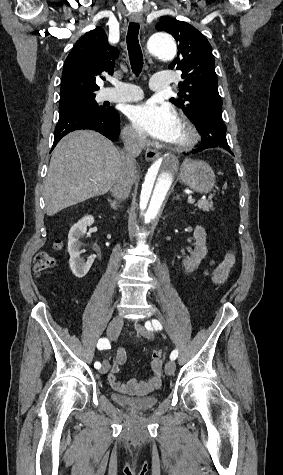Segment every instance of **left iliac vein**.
Wrapping results in <instances>:
<instances>
[{
	"instance_id": "1",
	"label": "left iliac vein",
	"mask_w": 283,
	"mask_h": 475,
	"mask_svg": "<svg viewBox=\"0 0 283 475\" xmlns=\"http://www.w3.org/2000/svg\"><path fill=\"white\" fill-rule=\"evenodd\" d=\"M136 331L140 333L143 337L147 339H153V334L149 329H146L143 325L136 324L135 325ZM176 370V364L173 360H170L165 365V373L166 375H172Z\"/></svg>"
}]
</instances>
